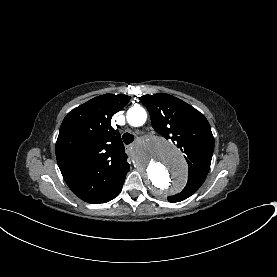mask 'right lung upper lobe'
<instances>
[{
    "mask_svg": "<svg viewBox=\"0 0 277 277\" xmlns=\"http://www.w3.org/2000/svg\"><path fill=\"white\" fill-rule=\"evenodd\" d=\"M130 100L105 94L70 111L56 142V158L69 188L88 203L109 198L123 183L130 166L120 133L111 117Z\"/></svg>",
    "mask_w": 277,
    "mask_h": 277,
    "instance_id": "cb5924a9",
    "label": "right lung upper lobe"
}]
</instances>
